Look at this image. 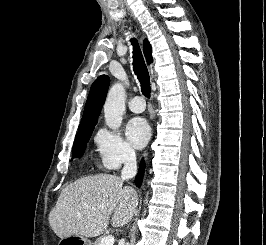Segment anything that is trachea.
Here are the masks:
<instances>
[{
  "instance_id": "3493384b",
  "label": "trachea",
  "mask_w": 266,
  "mask_h": 245,
  "mask_svg": "<svg viewBox=\"0 0 266 245\" xmlns=\"http://www.w3.org/2000/svg\"><path fill=\"white\" fill-rule=\"evenodd\" d=\"M134 46V71L141 82V90L145 97L150 98V77L148 73L147 66L144 62V58L136 39L132 40Z\"/></svg>"
}]
</instances>
